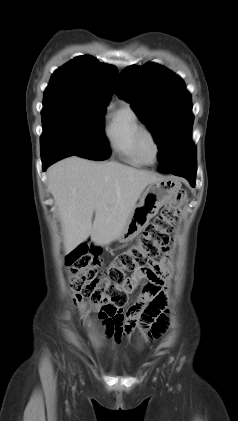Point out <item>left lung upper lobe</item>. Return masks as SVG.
<instances>
[{"label":"left lung upper lobe","mask_w":238,"mask_h":421,"mask_svg":"<svg viewBox=\"0 0 238 421\" xmlns=\"http://www.w3.org/2000/svg\"><path fill=\"white\" fill-rule=\"evenodd\" d=\"M115 93L131 103L151 130L160 150V172L195 159L191 96L179 76L154 63L130 66L122 72Z\"/></svg>","instance_id":"5c2ea615"}]
</instances>
